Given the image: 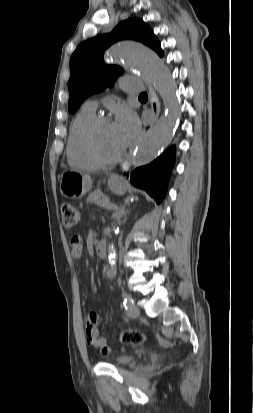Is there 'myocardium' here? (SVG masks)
Listing matches in <instances>:
<instances>
[{
	"label": "myocardium",
	"instance_id": "1",
	"mask_svg": "<svg viewBox=\"0 0 253 413\" xmlns=\"http://www.w3.org/2000/svg\"><path fill=\"white\" fill-rule=\"evenodd\" d=\"M110 123L109 118L104 116L95 117L87 126L84 135L85 146L90 157L98 164L102 166L114 165L122 160L124 156V150L112 157H106L102 155L96 145V133L100 126Z\"/></svg>",
	"mask_w": 253,
	"mask_h": 413
}]
</instances>
